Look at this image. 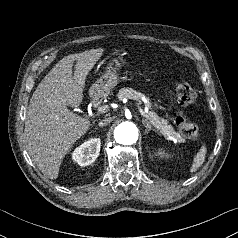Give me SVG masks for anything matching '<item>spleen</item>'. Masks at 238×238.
<instances>
[{"label": "spleen", "instance_id": "3e777b00", "mask_svg": "<svg viewBox=\"0 0 238 238\" xmlns=\"http://www.w3.org/2000/svg\"><path fill=\"white\" fill-rule=\"evenodd\" d=\"M206 147L202 146L199 150V152L197 153V155L195 156L194 160H193V164L191 166L190 172H196L197 169L203 164V162L205 161V155H206Z\"/></svg>", "mask_w": 238, "mask_h": 238}]
</instances>
